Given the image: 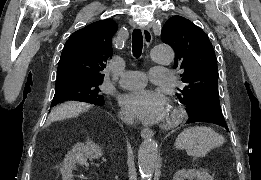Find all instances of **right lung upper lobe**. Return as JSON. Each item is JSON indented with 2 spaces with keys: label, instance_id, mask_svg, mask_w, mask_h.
Segmentation results:
<instances>
[{
  "label": "right lung upper lobe",
  "instance_id": "obj_1",
  "mask_svg": "<svg viewBox=\"0 0 261 180\" xmlns=\"http://www.w3.org/2000/svg\"><path fill=\"white\" fill-rule=\"evenodd\" d=\"M117 29L115 21L105 19L74 32L63 48L56 83L103 81L101 72L112 56V36Z\"/></svg>",
  "mask_w": 261,
  "mask_h": 180
}]
</instances>
